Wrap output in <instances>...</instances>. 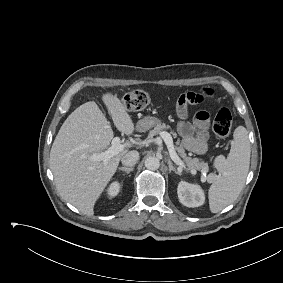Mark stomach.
I'll list each match as a JSON object with an SVG mask.
<instances>
[{
	"instance_id": "1",
	"label": "stomach",
	"mask_w": 283,
	"mask_h": 283,
	"mask_svg": "<svg viewBox=\"0 0 283 283\" xmlns=\"http://www.w3.org/2000/svg\"><path fill=\"white\" fill-rule=\"evenodd\" d=\"M161 121L156 117H145L138 121L137 130L138 131H146L155 126H157Z\"/></svg>"
}]
</instances>
